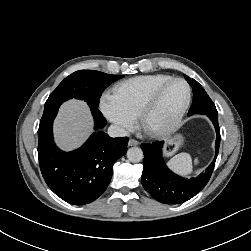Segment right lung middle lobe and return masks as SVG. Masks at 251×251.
Returning a JSON list of instances; mask_svg holds the SVG:
<instances>
[{"label":"right lung middle lobe","mask_w":251,"mask_h":251,"mask_svg":"<svg viewBox=\"0 0 251 251\" xmlns=\"http://www.w3.org/2000/svg\"><path fill=\"white\" fill-rule=\"evenodd\" d=\"M122 75H111L95 70H79L66 77L51 93L45 107L71 98L84 100L98 107L101 94Z\"/></svg>","instance_id":"dd1d6c3e"}]
</instances>
